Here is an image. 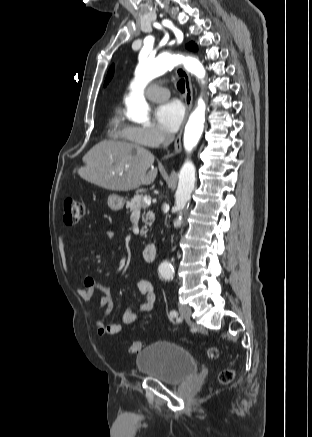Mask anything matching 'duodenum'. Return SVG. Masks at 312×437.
Masks as SVG:
<instances>
[{"mask_svg":"<svg viewBox=\"0 0 312 437\" xmlns=\"http://www.w3.org/2000/svg\"><path fill=\"white\" fill-rule=\"evenodd\" d=\"M155 254V246L146 244L142 249V258L145 262H152Z\"/></svg>","mask_w":312,"mask_h":437,"instance_id":"obj_1","label":"duodenum"}]
</instances>
